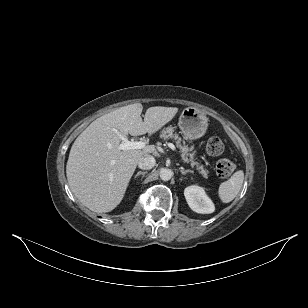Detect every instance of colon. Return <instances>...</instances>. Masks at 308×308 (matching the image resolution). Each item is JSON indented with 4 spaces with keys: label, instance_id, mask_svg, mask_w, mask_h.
Here are the masks:
<instances>
[{
    "label": "colon",
    "instance_id": "obj_1",
    "mask_svg": "<svg viewBox=\"0 0 308 308\" xmlns=\"http://www.w3.org/2000/svg\"><path fill=\"white\" fill-rule=\"evenodd\" d=\"M207 152L210 155H220L224 151V143L218 137H211L207 141ZM235 165L229 158H221L216 164V173L220 178H227L234 171Z\"/></svg>",
    "mask_w": 308,
    "mask_h": 308
}]
</instances>
